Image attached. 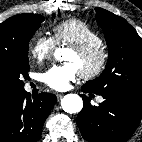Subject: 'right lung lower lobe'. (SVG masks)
I'll return each mask as SVG.
<instances>
[{"mask_svg": "<svg viewBox=\"0 0 142 142\" xmlns=\"http://www.w3.org/2000/svg\"><path fill=\"white\" fill-rule=\"evenodd\" d=\"M56 101L54 94L42 92L32 100L25 90L17 93L0 113V142H37Z\"/></svg>", "mask_w": 142, "mask_h": 142, "instance_id": "1", "label": "right lung lower lobe"}]
</instances>
